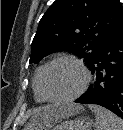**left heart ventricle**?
I'll return each mask as SVG.
<instances>
[{
  "label": "left heart ventricle",
  "instance_id": "obj_1",
  "mask_svg": "<svg viewBox=\"0 0 123 130\" xmlns=\"http://www.w3.org/2000/svg\"><path fill=\"white\" fill-rule=\"evenodd\" d=\"M84 74L72 61L62 60L54 63L47 71L45 85L48 94L54 98H67L81 87Z\"/></svg>",
  "mask_w": 123,
  "mask_h": 130
}]
</instances>
